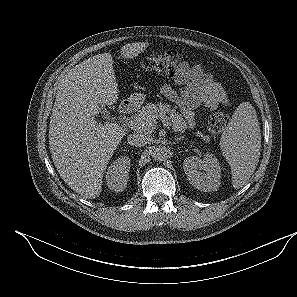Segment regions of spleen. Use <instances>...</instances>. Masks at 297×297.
Instances as JSON below:
<instances>
[{
    "instance_id": "1",
    "label": "spleen",
    "mask_w": 297,
    "mask_h": 297,
    "mask_svg": "<svg viewBox=\"0 0 297 297\" xmlns=\"http://www.w3.org/2000/svg\"><path fill=\"white\" fill-rule=\"evenodd\" d=\"M222 155L232 172V185L241 188L254 173L260 157L261 133L254 107L241 103L220 140Z\"/></svg>"
}]
</instances>
